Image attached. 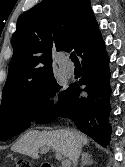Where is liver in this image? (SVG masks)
I'll return each instance as SVG.
<instances>
[{"label": "liver", "mask_w": 125, "mask_h": 167, "mask_svg": "<svg viewBox=\"0 0 125 167\" xmlns=\"http://www.w3.org/2000/svg\"><path fill=\"white\" fill-rule=\"evenodd\" d=\"M78 143L80 150L83 145L88 144V139L80 133ZM76 141L72 131L65 129L51 131L32 130L24 134L13 146L12 150L24 155H28L33 159L39 158V149L41 147L52 148L67 157L74 164L77 162L76 157Z\"/></svg>", "instance_id": "6515ba94"}]
</instances>
